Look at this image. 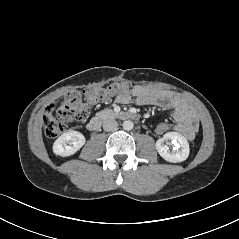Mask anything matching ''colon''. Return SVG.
Masks as SVG:
<instances>
[{"mask_svg":"<svg viewBox=\"0 0 239 239\" xmlns=\"http://www.w3.org/2000/svg\"><path fill=\"white\" fill-rule=\"evenodd\" d=\"M133 90L134 87L129 83H113L107 87L69 92L58 108L50 105L44 110L42 118L46 135L51 138L57 137L70 123L84 119L92 107L110 100L114 95H127ZM173 128L172 121L165 117L153 120V130L157 137L168 135Z\"/></svg>","mask_w":239,"mask_h":239,"instance_id":"obj_1","label":"colon"}]
</instances>
